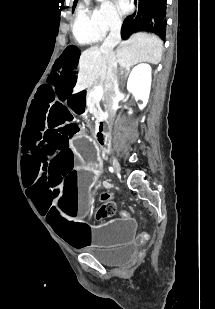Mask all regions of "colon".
Returning a JSON list of instances; mask_svg holds the SVG:
<instances>
[{
    "label": "colon",
    "instance_id": "1",
    "mask_svg": "<svg viewBox=\"0 0 215 309\" xmlns=\"http://www.w3.org/2000/svg\"><path fill=\"white\" fill-rule=\"evenodd\" d=\"M116 212V202L107 195L106 202L100 208V214L103 218L113 217Z\"/></svg>",
    "mask_w": 215,
    "mask_h": 309
}]
</instances>
